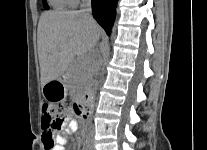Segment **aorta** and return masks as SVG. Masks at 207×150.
Here are the masks:
<instances>
[{"label": "aorta", "instance_id": "1", "mask_svg": "<svg viewBox=\"0 0 207 150\" xmlns=\"http://www.w3.org/2000/svg\"><path fill=\"white\" fill-rule=\"evenodd\" d=\"M108 58H109V48H107L106 49V51L104 52V54H103V57H102V59H101V62H100V65H101V68H100V75H102V73H103V71H104V66H105V64H106V62H107V60H108ZM98 85H99V81H97L96 82V88L98 87Z\"/></svg>", "mask_w": 207, "mask_h": 150}]
</instances>
